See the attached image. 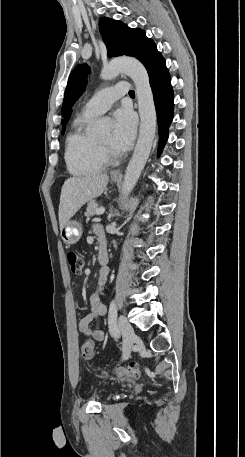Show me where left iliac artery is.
<instances>
[{"label": "left iliac artery", "mask_w": 245, "mask_h": 457, "mask_svg": "<svg viewBox=\"0 0 245 457\" xmlns=\"http://www.w3.org/2000/svg\"><path fill=\"white\" fill-rule=\"evenodd\" d=\"M116 318H117V305L114 300L111 301L109 306V313H108V326L109 331L115 338L118 337V330L116 327Z\"/></svg>", "instance_id": "left-iliac-artery-1"}]
</instances>
